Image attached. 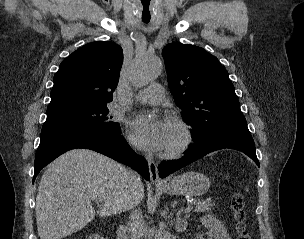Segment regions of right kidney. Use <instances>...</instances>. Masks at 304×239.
<instances>
[{"label":"right kidney","mask_w":304,"mask_h":239,"mask_svg":"<svg viewBox=\"0 0 304 239\" xmlns=\"http://www.w3.org/2000/svg\"><path fill=\"white\" fill-rule=\"evenodd\" d=\"M89 239H103V238H100L99 235H92L89 237Z\"/></svg>","instance_id":"1"}]
</instances>
